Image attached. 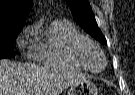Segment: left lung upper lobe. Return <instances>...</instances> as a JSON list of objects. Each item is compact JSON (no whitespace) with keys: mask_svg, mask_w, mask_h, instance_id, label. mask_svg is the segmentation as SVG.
Masks as SVG:
<instances>
[{"mask_svg":"<svg viewBox=\"0 0 135 95\" xmlns=\"http://www.w3.org/2000/svg\"><path fill=\"white\" fill-rule=\"evenodd\" d=\"M76 22L102 44L107 41L99 29L88 0H66Z\"/></svg>","mask_w":135,"mask_h":95,"instance_id":"left-lung-upper-lobe-1","label":"left lung upper lobe"}]
</instances>
